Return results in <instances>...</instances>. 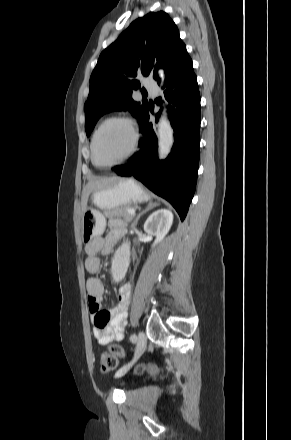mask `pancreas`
I'll return each mask as SVG.
<instances>
[{"instance_id":"pancreas-1","label":"pancreas","mask_w":291,"mask_h":440,"mask_svg":"<svg viewBox=\"0 0 291 440\" xmlns=\"http://www.w3.org/2000/svg\"><path fill=\"white\" fill-rule=\"evenodd\" d=\"M127 209L128 207L124 206V207H117L112 210H104V215L107 218L119 217V218H123L127 222H131L133 216L127 212Z\"/></svg>"}]
</instances>
